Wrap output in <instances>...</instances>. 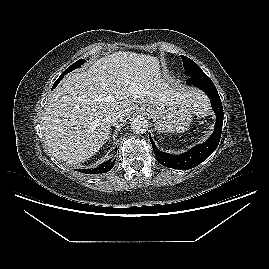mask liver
<instances>
[{
    "label": "liver",
    "instance_id": "6515ba94",
    "mask_svg": "<svg viewBox=\"0 0 269 269\" xmlns=\"http://www.w3.org/2000/svg\"><path fill=\"white\" fill-rule=\"evenodd\" d=\"M134 103L185 105L196 115L208 107L201 91L166 82L156 57L118 51L68 74L54 90L42 125L48 151L68 165L88 160L109 139V114L120 109L128 116Z\"/></svg>",
    "mask_w": 269,
    "mask_h": 269
}]
</instances>
